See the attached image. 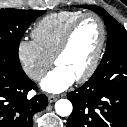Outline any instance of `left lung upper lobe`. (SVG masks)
<instances>
[{"label":"left lung upper lobe","instance_id":"1","mask_svg":"<svg viewBox=\"0 0 127 127\" xmlns=\"http://www.w3.org/2000/svg\"><path fill=\"white\" fill-rule=\"evenodd\" d=\"M103 15L107 27L108 39L106 51L97 69L105 66L109 61L119 55L127 54V31L104 9L98 6H81Z\"/></svg>","mask_w":127,"mask_h":127}]
</instances>
